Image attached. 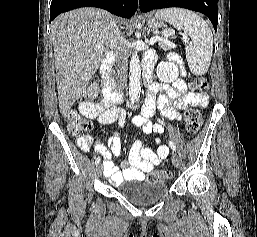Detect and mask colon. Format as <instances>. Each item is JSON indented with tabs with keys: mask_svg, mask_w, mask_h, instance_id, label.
I'll use <instances>...</instances> for the list:
<instances>
[{
	"mask_svg": "<svg viewBox=\"0 0 257 237\" xmlns=\"http://www.w3.org/2000/svg\"><path fill=\"white\" fill-rule=\"evenodd\" d=\"M209 86V80L206 76L195 77L191 88L197 92H206ZM99 95V86L96 81H92L86 88L83 98L86 100L96 99ZM65 119L68 124V130L72 135H78L83 131H89L92 123L80 117L76 111L70 110L65 113ZM202 125V115L196 109H189L185 115V129L189 134H196ZM170 177V172L166 169L156 170L148 176V181L152 183L166 181Z\"/></svg>",
	"mask_w": 257,
	"mask_h": 237,
	"instance_id": "obj_1",
	"label": "colon"
}]
</instances>
